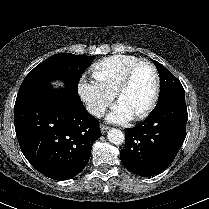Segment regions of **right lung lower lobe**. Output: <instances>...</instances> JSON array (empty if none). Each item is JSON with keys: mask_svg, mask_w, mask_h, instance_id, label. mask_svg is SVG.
<instances>
[{"mask_svg": "<svg viewBox=\"0 0 209 209\" xmlns=\"http://www.w3.org/2000/svg\"><path fill=\"white\" fill-rule=\"evenodd\" d=\"M14 110L20 148L36 170L62 181L87 165L101 132L98 120L86 111L78 91L42 85L17 97Z\"/></svg>", "mask_w": 209, "mask_h": 209, "instance_id": "obj_1", "label": "right lung lower lobe"}]
</instances>
